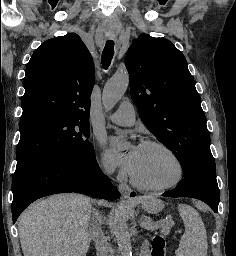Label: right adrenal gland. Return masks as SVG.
<instances>
[{"mask_svg":"<svg viewBox=\"0 0 236 256\" xmlns=\"http://www.w3.org/2000/svg\"><path fill=\"white\" fill-rule=\"evenodd\" d=\"M92 212H93V216H92V220H95V218H99V220H101L102 216L101 214H99L98 210H95V208H92ZM94 228V226H93ZM92 228V230H93Z\"/></svg>","mask_w":236,"mask_h":256,"instance_id":"1","label":"right adrenal gland"}]
</instances>
